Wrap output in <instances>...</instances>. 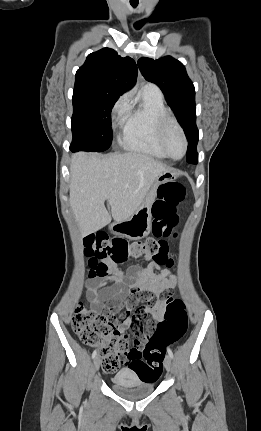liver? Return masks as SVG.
<instances>
[{
  "instance_id": "obj_1",
  "label": "liver",
  "mask_w": 261,
  "mask_h": 431,
  "mask_svg": "<svg viewBox=\"0 0 261 431\" xmlns=\"http://www.w3.org/2000/svg\"><path fill=\"white\" fill-rule=\"evenodd\" d=\"M166 165L141 153L99 155L76 153L71 158L70 206L82 236L128 219L141 205ZM108 202L107 211L105 201Z\"/></svg>"
}]
</instances>
